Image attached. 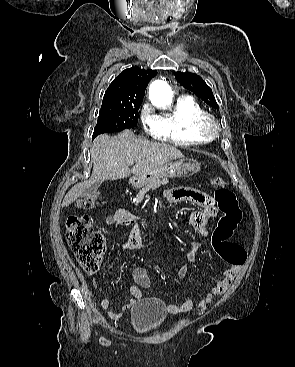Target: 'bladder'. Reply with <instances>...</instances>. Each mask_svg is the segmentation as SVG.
Instances as JSON below:
<instances>
[{
    "label": "bladder",
    "instance_id": "1",
    "mask_svg": "<svg viewBox=\"0 0 295 367\" xmlns=\"http://www.w3.org/2000/svg\"><path fill=\"white\" fill-rule=\"evenodd\" d=\"M167 315L165 303L161 299H141L131 310L132 329L137 334H150L161 327Z\"/></svg>",
    "mask_w": 295,
    "mask_h": 367
}]
</instances>
